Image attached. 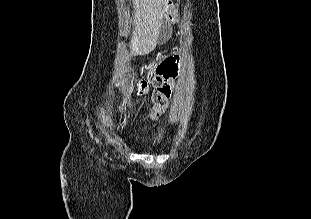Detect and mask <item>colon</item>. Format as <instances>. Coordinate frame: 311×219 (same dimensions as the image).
Returning <instances> with one entry per match:
<instances>
[{"instance_id":"colon-1","label":"colon","mask_w":311,"mask_h":219,"mask_svg":"<svg viewBox=\"0 0 311 219\" xmlns=\"http://www.w3.org/2000/svg\"><path fill=\"white\" fill-rule=\"evenodd\" d=\"M179 72V59L177 57L165 58L157 67L153 80L155 90L152 95L150 117L157 118L167 107L172 96L171 82ZM141 87H146V82L141 81Z\"/></svg>"}]
</instances>
